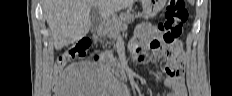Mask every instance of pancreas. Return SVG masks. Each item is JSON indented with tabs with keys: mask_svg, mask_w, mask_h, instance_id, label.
I'll use <instances>...</instances> for the list:
<instances>
[{
	"mask_svg": "<svg viewBox=\"0 0 232 96\" xmlns=\"http://www.w3.org/2000/svg\"><path fill=\"white\" fill-rule=\"evenodd\" d=\"M140 16L141 14H131V9H128L125 12H121L118 16L113 15L110 19H108L105 25L104 33L107 35V37L115 39L122 31L126 30L127 23L134 21L136 17Z\"/></svg>",
	"mask_w": 232,
	"mask_h": 96,
	"instance_id": "obj_1",
	"label": "pancreas"
}]
</instances>
